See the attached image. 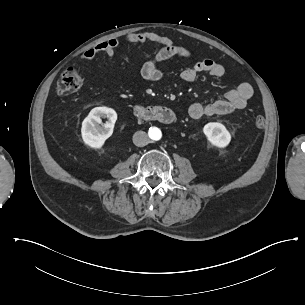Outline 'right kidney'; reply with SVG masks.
<instances>
[{
	"label": "right kidney",
	"instance_id": "obj_1",
	"mask_svg": "<svg viewBox=\"0 0 305 305\" xmlns=\"http://www.w3.org/2000/svg\"><path fill=\"white\" fill-rule=\"evenodd\" d=\"M101 118H108V122L104 124L106 129H112L117 120V113L112 108L96 107L93 108L89 115L82 123V137L84 142L92 148H101L104 143L103 127Z\"/></svg>",
	"mask_w": 305,
	"mask_h": 305
}]
</instances>
